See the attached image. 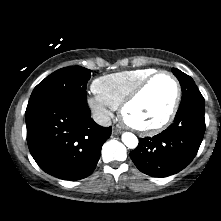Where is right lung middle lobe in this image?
Here are the masks:
<instances>
[{"label":"right lung middle lobe","mask_w":221,"mask_h":221,"mask_svg":"<svg viewBox=\"0 0 221 221\" xmlns=\"http://www.w3.org/2000/svg\"><path fill=\"white\" fill-rule=\"evenodd\" d=\"M91 70L81 66L59 69L41 81L33 90L27 108L50 101H86V85Z\"/></svg>","instance_id":"dd1d6c3e"}]
</instances>
